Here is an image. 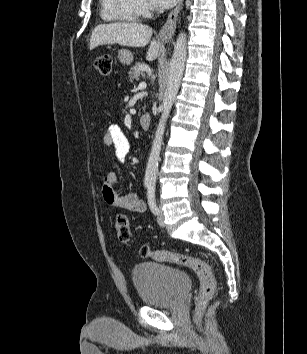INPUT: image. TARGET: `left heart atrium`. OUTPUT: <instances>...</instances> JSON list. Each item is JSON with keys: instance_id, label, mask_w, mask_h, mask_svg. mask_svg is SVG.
Listing matches in <instances>:
<instances>
[{"instance_id": "39dd6f15", "label": "left heart atrium", "mask_w": 307, "mask_h": 354, "mask_svg": "<svg viewBox=\"0 0 307 354\" xmlns=\"http://www.w3.org/2000/svg\"><path fill=\"white\" fill-rule=\"evenodd\" d=\"M155 3L162 8H169L173 6L177 0H154Z\"/></svg>"}]
</instances>
